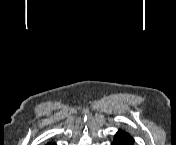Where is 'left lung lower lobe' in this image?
<instances>
[{"instance_id": "0a47b994", "label": "left lung lower lobe", "mask_w": 176, "mask_h": 145, "mask_svg": "<svg viewBox=\"0 0 176 145\" xmlns=\"http://www.w3.org/2000/svg\"><path fill=\"white\" fill-rule=\"evenodd\" d=\"M112 145H132V141L124 134L117 132Z\"/></svg>"}]
</instances>
